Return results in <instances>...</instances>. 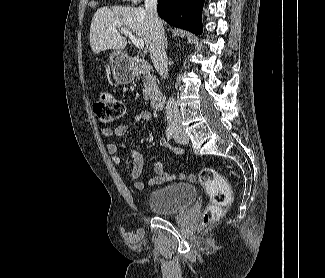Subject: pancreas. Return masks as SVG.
Here are the masks:
<instances>
[{
    "mask_svg": "<svg viewBox=\"0 0 325 278\" xmlns=\"http://www.w3.org/2000/svg\"><path fill=\"white\" fill-rule=\"evenodd\" d=\"M159 86L156 77L148 74L144 77V92L143 96L145 100L151 99L154 95L159 94Z\"/></svg>",
    "mask_w": 325,
    "mask_h": 278,
    "instance_id": "obj_1",
    "label": "pancreas"
}]
</instances>
